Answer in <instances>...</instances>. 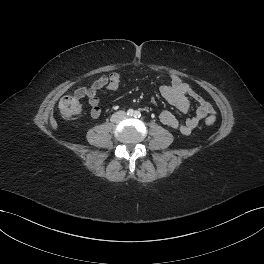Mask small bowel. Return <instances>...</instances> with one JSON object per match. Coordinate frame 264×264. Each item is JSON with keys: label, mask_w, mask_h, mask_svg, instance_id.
Masks as SVG:
<instances>
[{"label": "small bowel", "mask_w": 264, "mask_h": 264, "mask_svg": "<svg viewBox=\"0 0 264 264\" xmlns=\"http://www.w3.org/2000/svg\"><path fill=\"white\" fill-rule=\"evenodd\" d=\"M119 82L120 75L114 72L109 76L103 75L99 77L94 81L90 88L84 91L83 94L88 99V103L91 107L90 115L93 118H99L102 113L97 91L104 87H107L110 90H115L118 87ZM159 91L161 96L171 106L183 113L189 111L191 101H194L197 104L195 115L187 118L183 123H180L169 111H162L160 113L159 119L164 125L183 135L191 134L203 118L214 116L215 111L212 105L176 75L170 76L168 83L161 84ZM152 102H154V99H152Z\"/></svg>", "instance_id": "small-bowel-1"}]
</instances>
